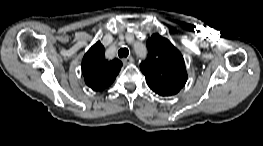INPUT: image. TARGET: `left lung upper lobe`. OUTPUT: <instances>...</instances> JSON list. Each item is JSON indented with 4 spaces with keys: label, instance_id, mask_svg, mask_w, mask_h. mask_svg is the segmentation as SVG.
<instances>
[{
    "label": "left lung upper lobe",
    "instance_id": "left-lung-upper-lobe-1",
    "mask_svg": "<svg viewBox=\"0 0 263 146\" xmlns=\"http://www.w3.org/2000/svg\"><path fill=\"white\" fill-rule=\"evenodd\" d=\"M148 56L140 65L148 86L156 94H177L186 84L185 62L179 50L166 38L153 34L147 40Z\"/></svg>",
    "mask_w": 263,
    "mask_h": 146
}]
</instances>
